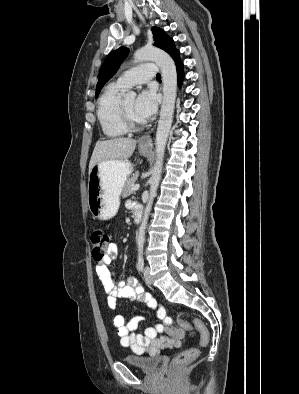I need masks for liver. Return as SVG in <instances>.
Wrapping results in <instances>:
<instances>
[{
  "label": "liver",
  "mask_w": 299,
  "mask_h": 394,
  "mask_svg": "<svg viewBox=\"0 0 299 394\" xmlns=\"http://www.w3.org/2000/svg\"><path fill=\"white\" fill-rule=\"evenodd\" d=\"M136 143V140L130 138L97 141L90 159L89 172L95 164L101 161L127 160L132 156Z\"/></svg>",
  "instance_id": "liver-1"
}]
</instances>
